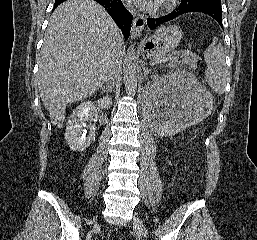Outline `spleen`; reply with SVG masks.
Segmentation results:
<instances>
[{
    "mask_svg": "<svg viewBox=\"0 0 257 240\" xmlns=\"http://www.w3.org/2000/svg\"><path fill=\"white\" fill-rule=\"evenodd\" d=\"M218 38L214 37L212 43L204 52V60L207 64L205 80L211 89L217 94L225 92L227 83V69L222 45H216Z\"/></svg>",
    "mask_w": 257,
    "mask_h": 240,
    "instance_id": "obj_1",
    "label": "spleen"
}]
</instances>
